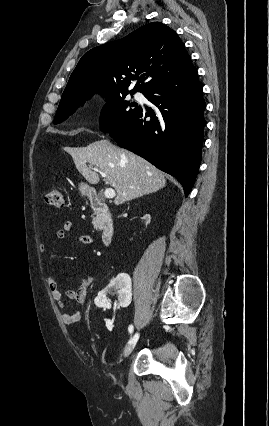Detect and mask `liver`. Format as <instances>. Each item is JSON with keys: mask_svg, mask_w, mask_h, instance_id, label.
Here are the masks:
<instances>
[{"mask_svg": "<svg viewBox=\"0 0 269 426\" xmlns=\"http://www.w3.org/2000/svg\"><path fill=\"white\" fill-rule=\"evenodd\" d=\"M69 153L77 170L89 183L97 184L100 180L91 166L106 174L109 184L117 193L115 205L156 192L166 185L162 171L140 156L116 147L109 140L95 141L87 147L71 148Z\"/></svg>", "mask_w": 269, "mask_h": 426, "instance_id": "liver-1", "label": "liver"}]
</instances>
